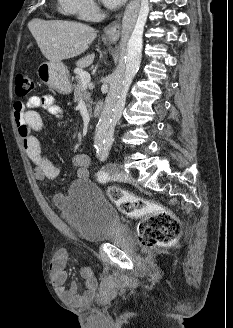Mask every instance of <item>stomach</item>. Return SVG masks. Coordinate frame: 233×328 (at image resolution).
I'll return each mask as SVG.
<instances>
[{"label":"stomach","mask_w":233,"mask_h":328,"mask_svg":"<svg viewBox=\"0 0 233 328\" xmlns=\"http://www.w3.org/2000/svg\"><path fill=\"white\" fill-rule=\"evenodd\" d=\"M109 41H113L109 39ZM37 74L41 82L63 94H69L72 85L67 67L61 62H44L39 65Z\"/></svg>","instance_id":"stomach-1"}]
</instances>
